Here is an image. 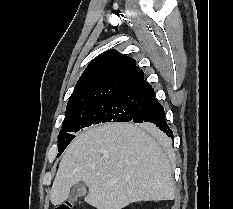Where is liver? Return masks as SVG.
Masks as SVG:
<instances>
[{
	"instance_id": "1",
	"label": "liver",
	"mask_w": 233,
	"mask_h": 209,
	"mask_svg": "<svg viewBox=\"0 0 233 209\" xmlns=\"http://www.w3.org/2000/svg\"><path fill=\"white\" fill-rule=\"evenodd\" d=\"M155 137L157 127L108 123L78 134L63 154L50 201L67 200L83 181L85 201L97 209H122L133 202L174 199L171 164Z\"/></svg>"
}]
</instances>
